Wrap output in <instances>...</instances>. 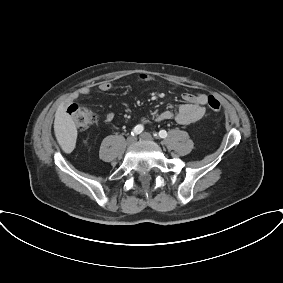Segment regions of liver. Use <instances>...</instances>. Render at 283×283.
Segmentation results:
<instances>
[{"label": "liver", "instance_id": "6515ba94", "mask_svg": "<svg viewBox=\"0 0 283 283\" xmlns=\"http://www.w3.org/2000/svg\"><path fill=\"white\" fill-rule=\"evenodd\" d=\"M54 131L56 139L65 153H71L75 148L77 129L66 108L60 105L55 113Z\"/></svg>", "mask_w": 283, "mask_h": 283}]
</instances>
